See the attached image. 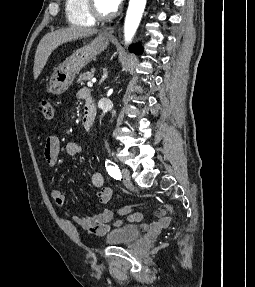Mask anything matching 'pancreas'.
I'll return each mask as SVG.
<instances>
[{"label":"pancreas","instance_id":"1","mask_svg":"<svg viewBox=\"0 0 255 287\" xmlns=\"http://www.w3.org/2000/svg\"><path fill=\"white\" fill-rule=\"evenodd\" d=\"M94 72L95 70L94 68H92L91 72H83V74H79V78L77 80L78 84L84 86V82H86V80H92Z\"/></svg>","mask_w":255,"mask_h":287}]
</instances>
